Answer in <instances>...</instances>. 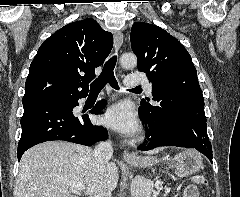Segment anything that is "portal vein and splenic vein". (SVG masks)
<instances>
[{
	"instance_id": "portal-vein-and-splenic-vein-1",
	"label": "portal vein and splenic vein",
	"mask_w": 240,
	"mask_h": 197,
	"mask_svg": "<svg viewBox=\"0 0 240 197\" xmlns=\"http://www.w3.org/2000/svg\"><path fill=\"white\" fill-rule=\"evenodd\" d=\"M65 183L68 184L74 190H83L85 188L82 183L69 182V181H65Z\"/></svg>"
}]
</instances>
